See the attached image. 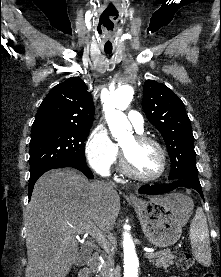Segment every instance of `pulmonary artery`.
<instances>
[{
    "label": "pulmonary artery",
    "mask_w": 221,
    "mask_h": 277,
    "mask_svg": "<svg viewBox=\"0 0 221 277\" xmlns=\"http://www.w3.org/2000/svg\"><path fill=\"white\" fill-rule=\"evenodd\" d=\"M128 119H129L130 123L132 124V126L136 129V131L142 132L143 126H144V120H143L142 115L139 112H137L135 110L129 111Z\"/></svg>",
    "instance_id": "1"
}]
</instances>
